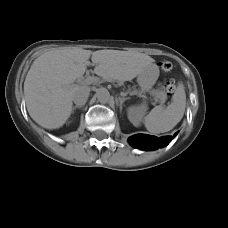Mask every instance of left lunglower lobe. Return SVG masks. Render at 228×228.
Returning <instances> with one entry per match:
<instances>
[{
  "instance_id": "0a47b994",
  "label": "left lung lower lobe",
  "mask_w": 228,
  "mask_h": 228,
  "mask_svg": "<svg viewBox=\"0 0 228 228\" xmlns=\"http://www.w3.org/2000/svg\"><path fill=\"white\" fill-rule=\"evenodd\" d=\"M177 135L175 133L173 138ZM171 137H161L147 135V134H137L129 138V142L132 146L142 149V150H153L159 147L166 146L171 142Z\"/></svg>"
}]
</instances>
